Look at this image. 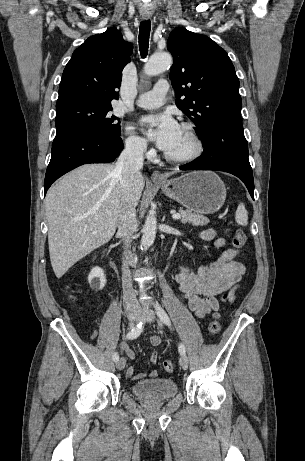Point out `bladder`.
<instances>
[{
	"instance_id": "obj_1",
	"label": "bladder",
	"mask_w": 305,
	"mask_h": 461,
	"mask_svg": "<svg viewBox=\"0 0 305 461\" xmlns=\"http://www.w3.org/2000/svg\"><path fill=\"white\" fill-rule=\"evenodd\" d=\"M134 394L149 400L164 401L178 393L174 379L159 377L138 381L131 387Z\"/></svg>"
}]
</instances>
